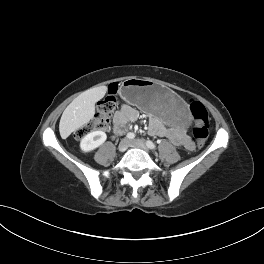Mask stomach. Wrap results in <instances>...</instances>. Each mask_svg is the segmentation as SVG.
Masks as SVG:
<instances>
[{
    "mask_svg": "<svg viewBox=\"0 0 264 264\" xmlns=\"http://www.w3.org/2000/svg\"><path fill=\"white\" fill-rule=\"evenodd\" d=\"M121 97L142 111L161 118L170 126L188 123L189 110L185 103L169 88L151 79L128 78L122 82Z\"/></svg>",
    "mask_w": 264,
    "mask_h": 264,
    "instance_id": "stomach-1",
    "label": "stomach"
}]
</instances>
